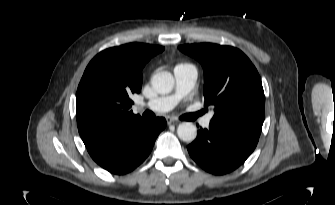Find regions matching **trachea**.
<instances>
[{
    "mask_svg": "<svg viewBox=\"0 0 335 205\" xmlns=\"http://www.w3.org/2000/svg\"><path fill=\"white\" fill-rule=\"evenodd\" d=\"M143 117H145V118H152V117H154V113L147 110V111H145L143 113Z\"/></svg>",
    "mask_w": 335,
    "mask_h": 205,
    "instance_id": "1",
    "label": "trachea"
}]
</instances>
